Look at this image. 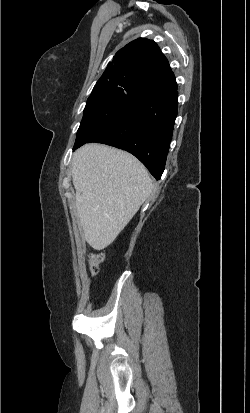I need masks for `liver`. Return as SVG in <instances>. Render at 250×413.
<instances>
[{"label": "liver", "instance_id": "obj_1", "mask_svg": "<svg viewBox=\"0 0 250 413\" xmlns=\"http://www.w3.org/2000/svg\"><path fill=\"white\" fill-rule=\"evenodd\" d=\"M72 181L79 223L95 250L116 239L153 188L137 158L102 144H86L73 154Z\"/></svg>", "mask_w": 250, "mask_h": 413}]
</instances>
